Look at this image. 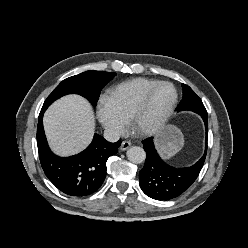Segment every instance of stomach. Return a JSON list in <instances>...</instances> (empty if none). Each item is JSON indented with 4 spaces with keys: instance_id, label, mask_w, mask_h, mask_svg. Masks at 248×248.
<instances>
[{
    "instance_id": "0dacf381",
    "label": "stomach",
    "mask_w": 248,
    "mask_h": 248,
    "mask_svg": "<svg viewBox=\"0 0 248 248\" xmlns=\"http://www.w3.org/2000/svg\"><path fill=\"white\" fill-rule=\"evenodd\" d=\"M155 143L160 154L168 159L181 150L184 138L177 127L168 125L157 133Z\"/></svg>"
}]
</instances>
